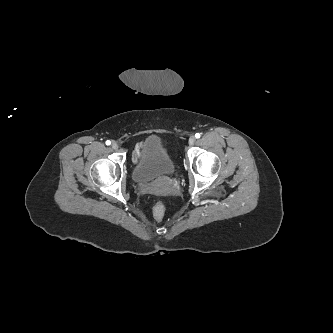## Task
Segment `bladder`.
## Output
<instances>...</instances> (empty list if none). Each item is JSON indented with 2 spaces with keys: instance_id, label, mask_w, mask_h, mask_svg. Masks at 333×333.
<instances>
[{
  "instance_id": "1",
  "label": "bladder",
  "mask_w": 333,
  "mask_h": 333,
  "mask_svg": "<svg viewBox=\"0 0 333 333\" xmlns=\"http://www.w3.org/2000/svg\"><path fill=\"white\" fill-rule=\"evenodd\" d=\"M176 163L158 136H150L141 145V155L132 170L136 182L146 183L162 176L173 175Z\"/></svg>"
}]
</instances>
